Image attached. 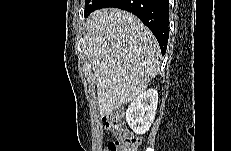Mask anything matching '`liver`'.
Listing matches in <instances>:
<instances>
[{
	"instance_id": "1",
	"label": "liver",
	"mask_w": 231,
	"mask_h": 151,
	"mask_svg": "<svg viewBox=\"0 0 231 151\" xmlns=\"http://www.w3.org/2000/svg\"><path fill=\"white\" fill-rule=\"evenodd\" d=\"M85 54L96 76L98 110L108 116L135 100L160 70V48L133 14L103 8L86 20Z\"/></svg>"
}]
</instances>
